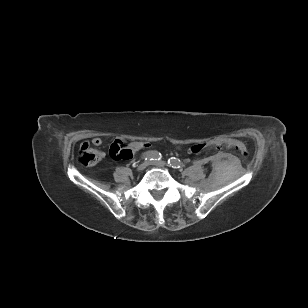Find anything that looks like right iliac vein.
I'll use <instances>...</instances> for the list:
<instances>
[{
    "instance_id": "63e3f726",
    "label": "right iliac vein",
    "mask_w": 308,
    "mask_h": 308,
    "mask_svg": "<svg viewBox=\"0 0 308 308\" xmlns=\"http://www.w3.org/2000/svg\"><path fill=\"white\" fill-rule=\"evenodd\" d=\"M148 165H149V161H145V162L141 163V164L137 167V169H138V171H143Z\"/></svg>"
}]
</instances>
